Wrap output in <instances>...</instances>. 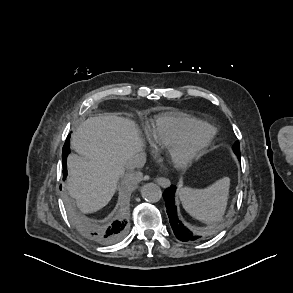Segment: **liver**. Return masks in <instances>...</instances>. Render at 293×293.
<instances>
[{
    "mask_svg": "<svg viewBox=\"0 0 293 293\" xmlns=\"http://www.w3.org/2000/svg\"><path fill=\"white\" fill-rule=\"evenodd\" d=\"M77 154L67 159V189L83 213L106 206L113 197L128 160L143 150L136 125L116 115L90 117L73 132Z\"/></svg>",
    "mask_w": 293,
    "mask_h": 293,
    "instance_id": "obj_1",
    "label": "liver"
}]
</instances>
